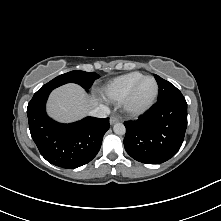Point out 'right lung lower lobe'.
<instances>
[{"label":"right lung lower lobe","instance_id":"obj_1","mask_svg":"<svg viewBox=\"0 0 221 221\" xmlns=\"http://www.w3.org/2000/svg\"><path fill=\"white\" fill-rule=\"evenodd\" d=\"M51 91L34 94L27 115L31 136L41 155L51 164L74 169L90 162L98 153L109 118L86 117L61 124L47 116L45 104Z\"/></svg>","mask_w":221,"mask_h":221}]
</instances>
